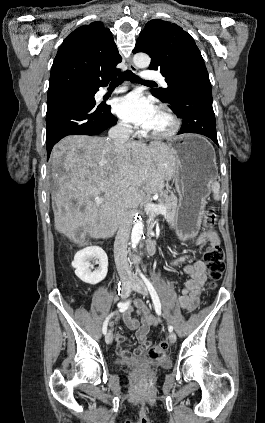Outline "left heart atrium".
Returning <instances> with one entry per match:
<instances>
[{"mask_svg":"<svg viewBox=\"0 0 265 423\" xmlns=\"http://www.w3.org/2000/svg\"><path fill=\"white\" fill-rule=\"evenodd\" d=\"M114 111L121 119L148 129L158 108L150 98L132 92L117 99Z\"/></svg>","mask_w":265,"mask_h":423,"instance_id":"left-heart-atrium-1","label":"left heart atrium"}]
</instances>
